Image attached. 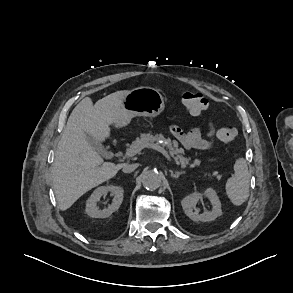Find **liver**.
<instances>
[{"mask_svg": "<svg viewBox=\"0 0 293 293\" xmlns=\"http://www.w3.org/2000/svg\"><path fill=\"white\" fill-rule=\"evenodd\" d=\"M129 91H117L93 105L84 98L70 114L51 168L53 189L62 211L70 208L82 195L113 178L122 164L103 162L89 144L87 135L102 142L110 136V125L122 117V99Z\"/></svg>", "mask_w": 293, "mask_h": 293, "instance_id": "liver-1", "label": "liver"}]
</instances>
